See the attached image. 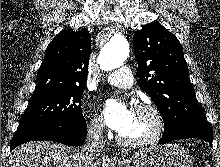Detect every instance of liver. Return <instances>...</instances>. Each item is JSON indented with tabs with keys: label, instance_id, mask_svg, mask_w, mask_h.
Segmentation results:
<instances>
[{
	"label": "liver",
	"instance_id": "1",
	"mask_svg": "<svg viewBox=\"0 0 220 167\" xmlns=\"http://www.w3.org/2000/svg\"><path fill=\"white\" fill-rule=\"evenodd\" d=\"M81 149L53 142H28L15 148L9 158L10 167H100L98 158L84 164Z\"/></svg>",
	"mask_w": 220,
	"mask_h": 167
}]
</instances>
